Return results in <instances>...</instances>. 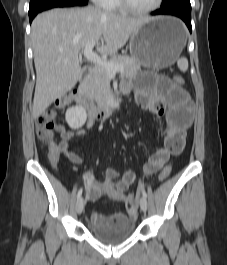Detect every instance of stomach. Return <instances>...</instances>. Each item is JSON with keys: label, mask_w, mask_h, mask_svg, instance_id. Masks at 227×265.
Segmentation results:
<instances>
[{"label": "stomach", "mask_w": 227, "mask_h": 265, "mask_svg": "<svg viewBox=\"0 0 227 265\" xmlns=\"http://www.w3.org/2000/svg\"><path fill=\"white\" fill-rule=\"evenodd\" d=\"M186 44V29L174 17H159L145 22L129 42L131 56L150 69L174 64Z\"/></svg>", "instance_id": "obj_1"}]
</instances>
